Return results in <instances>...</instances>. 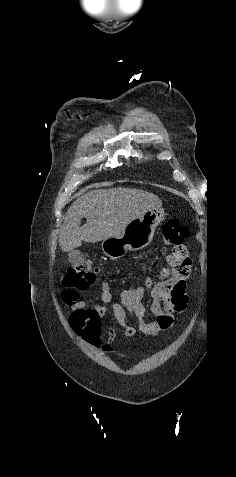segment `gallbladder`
Listing matches in <instances>:
<instances>
[{
    "mask_svg": "<svg viewBox=\"0 0 236 477\" xmlns=\"http://www.w3.org/2000/svg\"><path fill=\"white\" fill-rule=\"evenodd\" d=\"M69 261L72 264H79L83 261V255L79 251H72L69 254Z\"/></svg>",
    "mask_w": 236,
    "mask_h": 477,
    "instance_id": "gallbladder-1",
    "label": "gallbladder"
}]
</instances>
